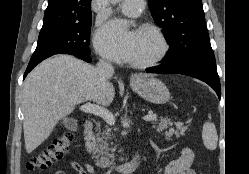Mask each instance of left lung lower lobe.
<instances>
[{
    "instance_id": "0a47b994",
    "label": "left lung lower lobe",
    "mask_w": 249,
    "mask_h": 174,
    "mask_svg": "<svg viewBox=\"0 0 249 174\" xmlns=\"http://www.w3.org/2000/svg\"><path fill=\"white\" fill-rule=\"evenodd\" d=\"M147 73H160V74H183L197 78L206 82L221 97L220 81L217 73L215 59L197 60L184 63L180 66H167L165 64L157 68H149Z\"/></svg>"
}]
</instances>
